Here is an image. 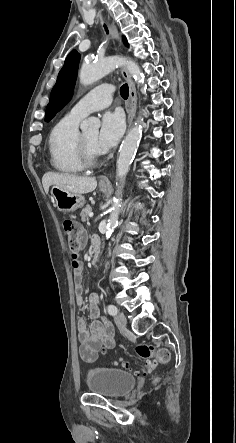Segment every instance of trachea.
Returning <instances> with one entry per match:
<instances>
[{
  "label": "trachea",
  "mask_w": 236,
  "mask_h": 443,
  "mask_svg": "<svg viewBox=\"0 0 236 443\" xmlns=\"http://www.w3.org/2000/svg\"><path fill=\"white\" fill-rule=\"evenodd\" d=\"M104 27H105L106 32H108L107 27H106V26H104ZM120 94H121V96H122L124 99H127V98H128V95H129V88H128V85H127V84H124V85L121 86V88H120Z\"/></svg>",
  "instance_id": "trachea-1"
}]
</instances>
